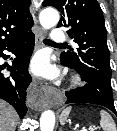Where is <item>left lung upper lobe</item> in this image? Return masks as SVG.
<instances>
[{"instance_id":"1","label":"left lung upper lobe","mask_w":117,"mask_h":131,"mask_svg":"<svg viewBox=\"0 0 117 131\" xmlns=\"http://www.w3.org/2000/svg\"><path fill=\"white\" fill-rule=\"evenodd\" d=\"M42 5L54 6L62 13L58 27L69 26L67 33L78 45L61 53V62L111 88L107 34L97 0H45Z\"/></svg>"}]
</instances>
